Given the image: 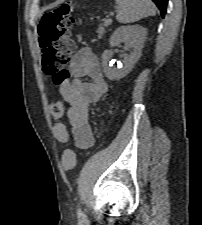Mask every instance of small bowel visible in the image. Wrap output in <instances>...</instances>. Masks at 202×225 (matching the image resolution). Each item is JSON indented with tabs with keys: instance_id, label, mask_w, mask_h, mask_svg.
Returning a JSON list of instances; mask_svg holds the SVG:
<instances>
[{
	"instance_id": "small-bowel-1",
	"label": "small bowel",
	"mask_w": 202,
	"mask_h": 225,
	"mask_svg": "<svg viewBox=\"0 0 202 225\" xmlns=\"http://www.w3.org/2000/svg\"><path fill=\"white\" fill-rule=\"evenodd\" d=\"M70 73L58 85L63 99L69 104L66 115L77 146L88 149L94 144V136L89 122L90 105L97 102L108 91L100 62L89 47L79 49L73 56ZM52 132L61 143L69 140L68 129L54 116Z\"/></svg>"
}]
</instances>
